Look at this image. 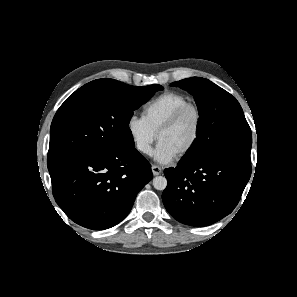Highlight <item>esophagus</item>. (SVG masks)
Masks as SVG:
<instances>
[{"instance_id":"1","label":"esophagus","mask_w":297,"mask_h":297,"mask_svg":"<svg viewBox=\"0 0 297 297\" xmlns=\"http://www.w3.org/2000/svg\"><path fill=\"white\" fill-rule=\"evenodd\" d=\"M161 172H162V169H161L160 166H158V165H152V173H153V175L157 176V175L161 174Z\"/></svg>"}]
</instances>
